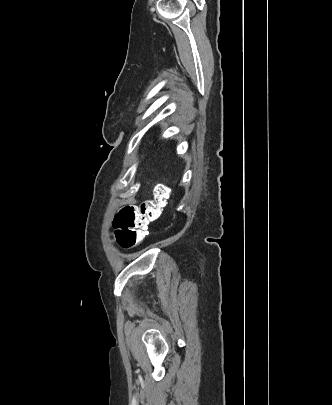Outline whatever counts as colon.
<instances>
[{
	"label": "colon",
	"mask_w": 332,
	"mask_h": 405,
	"mask_svg": "<svg viewBox=\"0 0 332 405\" xmlns=\"http://www.w3.org/2000/svg\"><path fill=\"white\" fill-rule=\"evenodd\" d=\"M168 194L166 186L158 185L154 190L153 199L144 201L139 206H127L121 210L119 227L122 247L129 249L145 240L148 224L159 218Z\"/></svg>",
	"instance_id": "obj_1"
}]
</instances>
